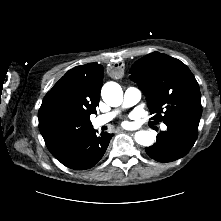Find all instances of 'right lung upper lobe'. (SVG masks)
<instances>
[{
    "instance_id": "cb5924a9",
    "label": "right lung upper lobe",
    "mask_w": 221,
    "mask_h": 221,
    "mask_svg": "<svg viewBox=\"0 0 221 221\" xmlns=\"http://www.w3.org/2000/svg\"><path fill=\"white\" fill-rule=\"evenodd\" d=\"M103 80L98 63L69 70L46 94L39 109V129L53 156L69 148L93 129Z\"/></svg>"
}]
</instances>
